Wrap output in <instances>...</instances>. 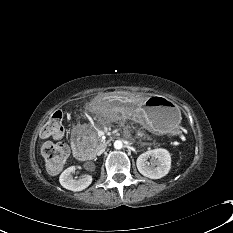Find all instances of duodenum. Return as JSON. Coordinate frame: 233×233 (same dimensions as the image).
I'll use <instances>...</instances> for the list:
<instances>
[{
    "label": "duodenum",
    "mask_w": 233,
    "mask_h": 233,
    "mask_svg": "<svg viewBox=\"0 0 233 233\" xmlns=\"http://www.w3.org/2000/svg\"><path fill=\"white\" fill-rule=\"evenodd\" d=\"M73 150L78 159L83 160V161L90 160V152L83 143L74 142Z\"/></svg>",
    "instance_id": "1"
}]
</instances>
